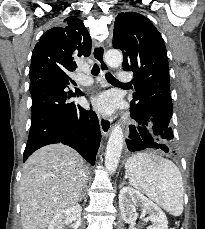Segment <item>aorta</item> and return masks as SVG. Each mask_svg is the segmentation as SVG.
<instances>
[{
    "label": "aorta",
    "instance_id": "aorta-1",
    "mask_svg": "<svg viewBox=\"0 0 205 229\" xmlns=\"http://www.w3.org/2000/svg\"><path fill=\"white\" fill-rule=\"evenodd\" d=\"M105 61L111 68H117L122 64V53L116 49L108 50L105 54ZM123 141L122 128L119 123L115 124L109 136L105 152V168L110 174L114 173L118 167Z\"/></svg>",
    "mask_w": 205,
    "mask_h": 229
}]
</instances>
